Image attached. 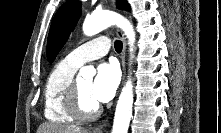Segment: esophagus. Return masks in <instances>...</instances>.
<instances>
[{
  "label": "esophagus",
  "instance_id": "esophagus-1",
  "mask_svg": "<svg viewBox=\"0 0 221 133\" xmlns=\"http://www.w3.org/2000/svg\"><path fill=\"white\" fill-rule=\"evenodd\" d=\"M113 3H114V1H113ZM117 33L120 36V38L122 40V44H123V48H122V52H121V64H122L123 80H124L125 66H126V40H125L123 32L120 29L117 30ZM107 120H108V117L102 122V124L95 127L93 129L92 133H102L104 127L106 126Z\"/></svg>",
  "mask_w": 221,
  "mask_h": 133
}]
</instances>
